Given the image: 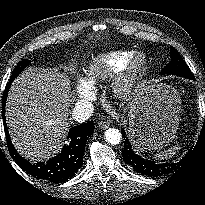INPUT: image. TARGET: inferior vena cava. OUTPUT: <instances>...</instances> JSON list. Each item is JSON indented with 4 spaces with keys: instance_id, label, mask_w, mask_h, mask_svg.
Listing matches in <instances>:
<instances>
[{
    "instance_id": "1",
    "label": "inferior vena cava",
    "mask_w": 205,
    "mask_h": 205,
    "mask_svg": "<svg viewBox=\"0 0 205 205\" xmlns=\"http://www.w3.org/2000/svg\"><path fill=\"white\" fill-rule=\"evenodd\" d=\"M93 111L94 106L91 102H79L74 106L71 116L76 122L82 123L92 116Z\"/></svg>"
}]
</instances>
